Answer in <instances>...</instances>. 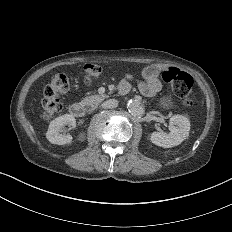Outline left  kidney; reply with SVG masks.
<instances>
[{
	"label": "left kidney",
	"instance_id": "left-kidney-1",
	"mask_svg": "<svg viewBox=\"0 0 232 232\" xmlns=\"http://www.w3.org/2000/svg\"><path fill=\"white\" fill-rule=\"evenodd\" d=\"M170 123L178 127H172L169 134L153 132L151 142L161 148H171L180 145L189 137L190 120L182 115L176 114L170 118Z\"/></svg>",
	"mask_w": 232,
	"mask_h": 232
}]
</instances>
